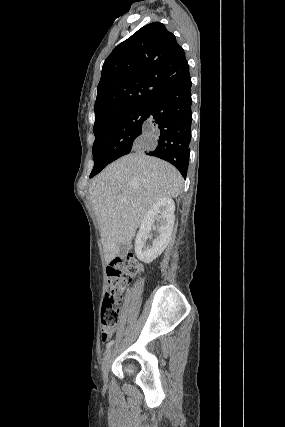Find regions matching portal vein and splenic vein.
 Segmentation results:
<instances>
[{
	"label": "portal vein and splenic vein",
	"instance_id": "1",
	"mask_svg": "<svg viewBox=\"0 0 285 427\" xmlns=\"http://www.w3.org/2000/svg\"><path fill=\"white\" fill-rule=\"evenodd\" d=\"M122 201H125L126 199L124 197L121 198Z\"/></svg>",
	"mask_w": 285,
	"mask_h": 427
}]
</instances>
